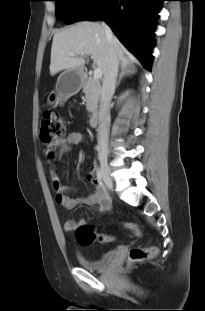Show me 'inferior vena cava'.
Wrapping results in <instances>:
<instances>
[{
    "label": "inferior vena cava",
    "mask_w": 205,
    "mask_h": 311,
    "mask_svg": "<svg viewBox=\"0 0 205 311\" xmlns=\"http://www.w3.org/2000/svg\"><path fill=\"white\" fill-rule=\"evenodd\" d=\"M105 33L108 39H113V33L111 29L103 24ZM118 58L113 49L109 51L108 67L104 73L102 88H101V103L99 111V128H98V148L106 152L108 148L109 137V120H110V102L115 92L116 78L118 74Z\"/></svg>",
    "instance_id": "obj_1"
}]
</instances>
